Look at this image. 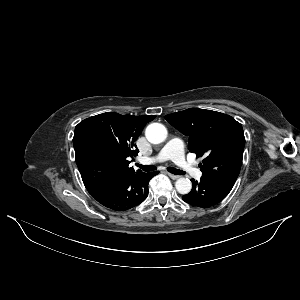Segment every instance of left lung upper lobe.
Here are the masks:
<instances>
[{
    "label": "left lung upper lobe",
    "instance_id": "obj_1",
    "mask_svg": "<svg viewBox=\"0 0 300 300\" xmlns=\"http://www.w3.org/2000/svg\"><path fill=\"white\" fill-rule=\"evenodd\" d=\"M177 130L189 136V150L197 157L202 177L233 188L239 175L245 137L241 124L229 115L190 108L165 116Z\"/></svg>",
    "mask_w": 300,
    "mask_h": 300
}]
</instances>
